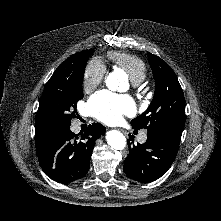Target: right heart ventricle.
Masks as SVG:
<instances>
[{
  "mask_svg": "<svg viewBox=\"0 0 221 221\" xmlns=\"http://www.w3.org/2000/svg\"><path fill=\"white\" fill-rule=\"evenodd\" d=\"M109 58L116 66L127 72L129 78L135 85L141 83L145 79L147 68L140 58L122 52L110 53Z\"/></svg>",
  "mask_w": 221,
  "mask_h": 221,
  "instance_id": "right-heart-ventricle-1",
  "label": "right heart ventricle"
}]
</instances>
